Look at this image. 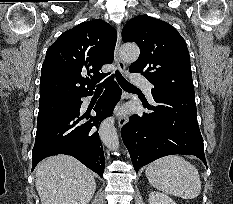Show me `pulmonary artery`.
I'll return each mask as SVG.
<instances>
[{"label": "pulmonary artery", "instance_id": "1", "mask_svg": "<svg viewBox=\"0 0 233 204\" xmlns=\"http://www.w3.org/2000/svg\"><path fill=\"white\" fill-rule=\"evenodd\" d=\"M131 81L137 85H140L144 91L146 92V94L151 97V88L152 85L151 83L144 77L139 76V75H134L131 77Z\"/></svg>", "mask_w": 233, "mask_h": 204}]
</instances>
